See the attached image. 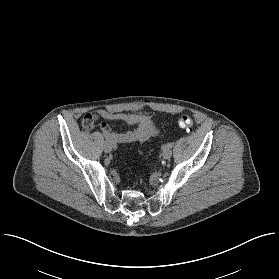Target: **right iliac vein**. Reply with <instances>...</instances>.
<instances>
[{"label":"right iliac vein","mask_w":279,"mask_h":279,"mask_svg":"<svg viewBox=\"0 0 279 279\" xmlns=\"http://www.w3.org/2000/svg\"><path fill=\"white\" fill-rule=\"evenodd\" d=\"M103 149L106 153L111 152L112 151V144L109 143V142H105L104 146H103Z\"/></svg>","instance_id":"right-iliac-vein-1"}]
</instances>
